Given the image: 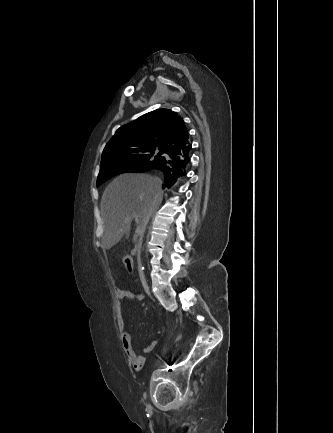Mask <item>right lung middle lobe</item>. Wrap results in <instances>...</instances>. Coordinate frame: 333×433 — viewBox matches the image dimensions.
<instances>
[{"mask_svg":"<svg viewBox=\"0 0 333 433\" xmlns=\"http://www.w3.org/2000/svg\"><path fill=\"white\" fill-rule=\"evenodd\" d=\"M156 149H128L101 159L97 186L117 174L133 171L141 172L153 168L162 159L163 151Z\"/></svg>","mask_w":333,"mask_h":433,"instance_id":"obj_1","label":"right lung middle lobe"}]
</instances>
